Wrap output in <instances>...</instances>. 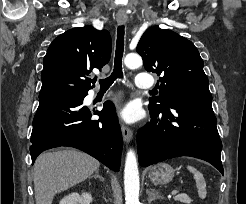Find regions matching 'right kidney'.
Masks as SVG:
<instances>
[{"label": "right kidney", "instance_id": "right-kidney-1", "mask_svg": "<svg viewBox=\"0 0 246 204\" xmlns=\"http://www.w3.org/2000/svg\"><path fill=\"white\" fill-rule=\"evenodd\" d=\"M93 198L90 193L83 192L81 195L78 193H71L64 197L59 204H90Z\"/></svg>", "mask_w": 246, "mask_h": 204}]
</instances>
